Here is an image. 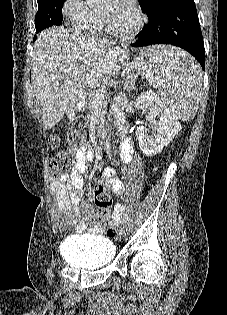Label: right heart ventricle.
I'll use <instances>...</instances> for the list:
<instances>
[{
    "label": "right heart ventricle",
    "instance_id": "1",
    "mask_svg": "<svg viewBox=\"0 0 227 315\" xmlns=\"http://www.w3.org/2000/svg\"><path fill=\"white\" fill-rule=\"evenodd\" d=\"M102 29H103V23L101 19L94 21L91 25L85 28L86 31L93 34L101 32Z\"/></svg>",
    "mask_w": 227,
    "mask_h": 315
}]
</instances>
